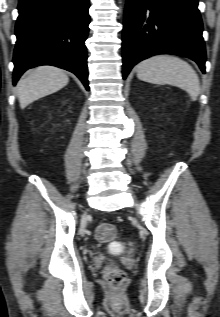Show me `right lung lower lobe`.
Segmentation results:
<instances>
[{"label": "right lung lower lobe", "mask_w": 220, "mask_h": 317, "mask_svg": "<svg viewBox=\"0 0 220 317\" xmlns=\"http://www.w3.org/2000/svg\"><path fill=\"white\" fill-rule=\"evenodd\" d=\"M89 0H19L13 84L29 68L53 65L77 75L87 90Z\"/></svg>", "instance_id": "right-lung-lower-lobe-1"}]
</instances>
